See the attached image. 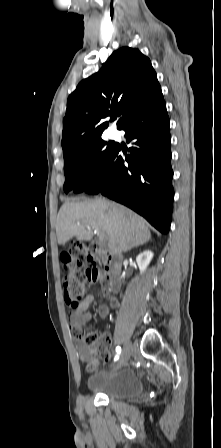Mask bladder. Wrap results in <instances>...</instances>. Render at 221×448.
<instances>
[{
  "mask_svg": "<svg viewBox=\"0 0 221 448\" xmlns=\"http://www.w3.org/2000/svg\"><path fill=\"white\" fill-rule=\"evenodd\" d=\"M88 388L109 399H134L145 391L140 376L130 369L104 371L88 377Z\"/></svg>",
  "mask_w": 221,
  "mask_h": 448,
  "instance_id": "bladder-1",
  "label": "bladder"
}]
</instances>
